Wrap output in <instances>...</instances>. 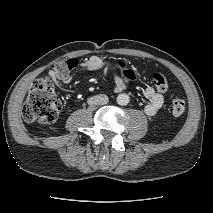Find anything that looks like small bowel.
<instances>
[{"label":"small bowel","mask_w":213,"mask_h":213,"mask_svg":"<svg viewBox=\"0 0 213 213\" xmlns=\"http://www.w3.org/2000/svg\"><path fill=\"white\" fill-rule=\"evenodd\" d=\"M77 65L84 70L87 71H103L110 72L113 70V64L104 60L99 56H91ZM76 65V66H77ZM49 75L57 80L61 85H65L72 80V75L70 73L64 76H57L53 70L49 71ZM137 74L134 70H126L124 72V76H116L115 77V90L117 92L124 91L127 88V82L135 80ZM145 95L148 97L149 102L144 107V112L148 116H154L158 113V111L162 108L164 103L163 95L158 92L155 88L148 86L145 89Z\"/></svg>","instance_id":"small-bowel-1"}]
</instances>
